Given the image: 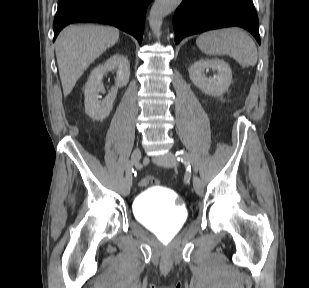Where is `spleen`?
<instances>
[{
	"label": "spleen",
	"instance_id": "spleen-1",
	"mask_svg": "<svg viewBox=\"0 0 309 288\" xmlns=\"http://www.w3.org/2000/svg\"><path fill=\"white\" fill-rule=\"evenodd\" d=\"M198 48L207 55L227 54L242 67L255 66L257 47L250 36L239 28H224L202 33L196 40Z\"/></svg>",
	"mask_w": 309,
	"mask_h": 288
}]
</instances>
